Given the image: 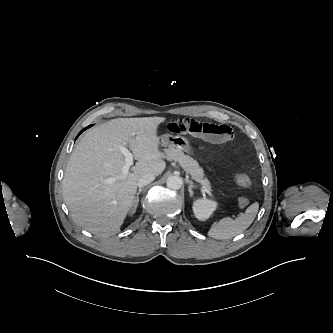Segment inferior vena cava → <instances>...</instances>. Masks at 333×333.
Segmentation results:
<instances>
[{"label": "inferior vena cava", "mask_w": 333, "mask_h": 333, "mask_svg": "<svg viewBox=\"0 0 333 333\" xmlns=\"http://www.w3.org/2000/svg\"><path fill=\"white\" fill-rule=\"evenodd\" d=\"M155 179V175L152 173H146L144 174L138 181V187H144L148 185L149 183L153 182Z\"/></svg>", "instance_id": "obj_1"}]
</instances>
